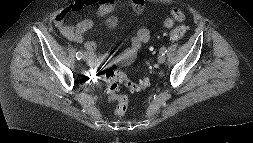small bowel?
<instances>
[{
	"label": "small bowel",
	"instance_id": "c3829d8e",
	"mask_svg": "<svg viewBox=\"0 0 253 143\" xmlns=\"http://www.w3.org/2000/svg\"><path fill=\"white\" fill-rule=\"evenodd\" d=\"M146 0H131L132 8L137 13H142L145 10ZM95 6L97 15H104L110 13L114 10L116 6L115 0H77L65 8H63L54 18V25L60 32V34L68 39L69 41L75 43H83L85 48L90 52L94 53L96 45L92 41L85 40L86 33L92 28L93 21L92 19H83L78 22L75 26H69L65 23L66 18L72 14L83 9ZM185 20V15L183 11L179 8L173 7L170 9V15L166 17L163 21V26L167 29L172 28L175 24L182 23ZM151 37L150 30L147 27H141L137 33L131 38L130 48L125 50L118 57L119 60L135 55L136 52L140 49L142 44L149 41ZM108 57V56H104ZM97 61L95 56H92L90 65L95 66Z\"/></svg>",
	"mask_w": 253,
	"mask_h": 143
}]
</instances>
